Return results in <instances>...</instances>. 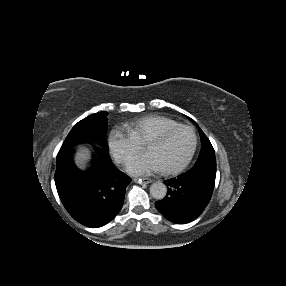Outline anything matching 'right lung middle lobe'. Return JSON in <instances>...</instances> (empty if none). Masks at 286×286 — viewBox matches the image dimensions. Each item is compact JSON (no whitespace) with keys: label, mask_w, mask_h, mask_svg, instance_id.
Listing matches in <instances>:
<instances>
[{"label":"right lung middle lobe","mask_w":286,"mask_h":286,"mask_svg":"<svg viewBox=\"0 0 286 286\" xmlns=\"http://www.w3.org/2000/svg\"><path fill=\"white\" fill-rule=\"evenodd\" d=\"M107 115V112H99L79 121L66 137L59 152H69L75 144L90 140L103 141L106 148L103 136L107 128ZM102 153L107 155L104 151Z\"/></svg>","instance_id":"right-lung-middle-lobe-1"}]
</instances>
